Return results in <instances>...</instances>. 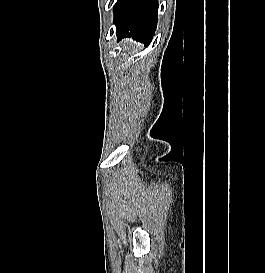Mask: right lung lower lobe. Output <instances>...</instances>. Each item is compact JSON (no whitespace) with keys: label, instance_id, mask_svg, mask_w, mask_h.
I'll list each match as a JSON object with an SVG mask.
<instances>
[{"label":"right lung lower lobe","instance_id":"obj_1","mask_svg":"<svg viewBox=\"0 0 265 273\" xmlns=\"http://www.w3.org/2000/svg\"><path fill=\"white\" fill-rule=\"evenodd\" d=\"M157 0H118L114 6V24L118 40L126 37L150 43L157 25Z\"/></svg>","mask_w":265,"mask_h":273}]
</instances>
